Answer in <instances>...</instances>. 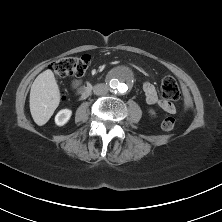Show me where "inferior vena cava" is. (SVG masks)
Here are the masks:
<instances>
[{
  "label": "inferior vena cava",
  "instance_id": "1",
  "mask_svg": "<svg viewBox=\"0 0 222 222\" xmlns=\"http://www.w3.org/2000/svg\"><path fill=\"white\" fill-rule=\"evenodd\" d=\"M109 87L106 84H97L93 88V92L95 95L103 96L108 93Z\"/></svg>",
  "mask_w": 222,
  "mask_h": 222
}]
</instances>
